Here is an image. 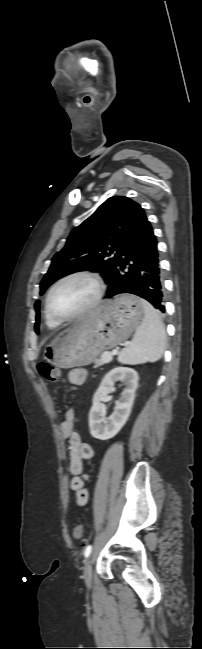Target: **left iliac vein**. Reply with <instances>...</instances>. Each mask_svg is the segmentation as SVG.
Wrapping results in <instances>:
<instances>
[{
  "label": "left iliac vein",
  "instance_id": "left-iliac-vein-1",
  "mask_svg": "<svg viewBox=\"0 0 202 649\" xmlns=\"http://www.w3.org/2000/svg\"><path fill=\"white\" fill-rule=\"evenodd\" d=\"M83 576L86 585L90 586L92 583V556H89L85 562Z\"/></svg>",
  "mask_w": 202,
  "mask_h": 649
}]
</instances>
